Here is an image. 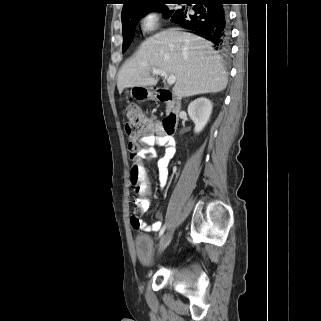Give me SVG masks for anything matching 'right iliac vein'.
I'll return each mask as SVG.
<instances>
[{"label": "right iliac vein", "instance_id": "1", "mask_svg": "<svg viewBox=\"0 0 321 321\" xmlns=\"http://www.w3.org/2000/svg\"><path fill=\"white\" fill-rule=\"evenodd\" d=\"M172 238V232L169 231L166 234H164L159 242L158 245V252L161 253L169 244V242L171 241Z\"/></svg>", "mask_w": 321, "mask_h": 321}]
</instances>
